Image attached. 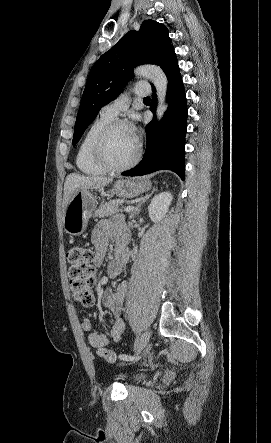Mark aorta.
<instances>
[{
	"instance_id": "aorta-1",
	"label": "aorta",
	"mask_w": 271,
	"mask_h": 443,
	"mask_svg": "<svg viewBox=\"0 0 271 443\" xmlns=\"http://www.w3.org/2000/svg\"><path fill=\"white\" fill-rule=\"evenodd\" d=\"M134 74L135 76L147 78V80H151L152 84H154L158 98L156 116L158 120H161L168 108L166 104L168 80L165 72H163L161 68H158V66H150V64H147V66H138V68H135Z\"/></svg>"
}]
</instances>
